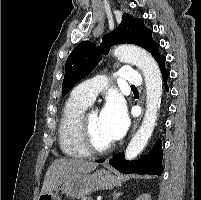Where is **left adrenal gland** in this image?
Returning <instances> with one entry per match:
<instances>
[{
    "mask_svg": "<svg viewBox=\"0 0 201 200\" xmlns=\"http://www.w3.org/2000/svg\"><path fill=\"white\" fill-rule=\"evenodd\" d=\"M122 194V192H116L115 190L113 191V200H118L119 196Z\"/></svg>",
    "mask_w": 201,
    "mask_h": 200,
    "instance_id": "left-adrenal-gland-1",
    "label": "left adrenal gland"
}]
</instances>
